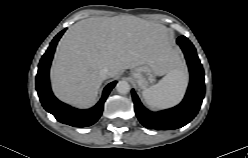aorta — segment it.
Returning <instances> with one entry per match:
<instances>
[{"mask_svg":"<svg viewBox=\"0 0 248 158\" xmlns=\"http://www.w3.org/2000/svg\"><path fill=\"white\" fill-rule=\"evenodd\" d=\"M116 90L119 94H127L130 91V85L127 81H119L116 85Z\"/></svg>","mask_w":248,"mask_h":158,"instance_id":"aorta-1","label":"aorta"}]
</instances>
